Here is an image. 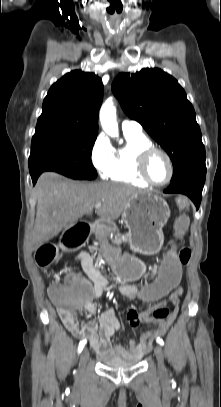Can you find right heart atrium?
<instances>
[{
    "instance_id": "d8ad5b80",
    "label": "right heart atrium",
    "mask_w": 221,
    "mask_h": 407,
    "mask_svg": "<svg viewBox=\"0 0 221 407\" xmlns=\"http://www.w3.org/2000/svg\"><path fill=\"white\" fill-rule=\"evenodd\" d=\"M114 148L109 140L99 135L91 149V162L101 178H108L112 169Z\"/></svg>"
}]
</instances>
